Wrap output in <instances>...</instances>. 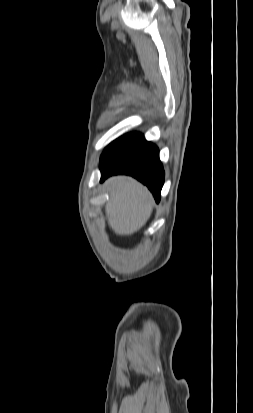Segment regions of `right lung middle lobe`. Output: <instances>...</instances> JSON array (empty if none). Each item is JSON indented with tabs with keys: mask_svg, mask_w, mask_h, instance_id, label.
Returning a JSON list of instances; mask_svg holds the SVG:
<instances>
[{
	"mask_svg": "<svg viewBox=\"0 0 253 413\" xmlns=\"http://www.w3.org/2000/svg\"><path fill=\"white\" fill-rule=\"evenodd\" d=\"M144 136L140 133H130L124 135L123 137L115 140L110 145H108L103 154L101 155L100 162L103 163L107 159H109L114 154L120 152L121 150L131 146L132 144L140 141L143 139Z\"/></svg>",
	"mask_w": 253,
	"mask_h": 413,
	"instance_id": "1",
	"label": "right lung middle lobe"
}]
</instances>
